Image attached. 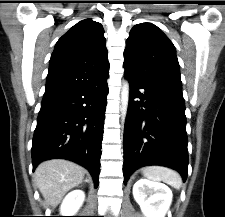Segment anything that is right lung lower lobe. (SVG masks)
<instances>
[{"label":"right lung lower lobe","mask_w":225,"mask_h":217,"mask_svg":"<svg viewBox=\"0 0 225 217\" xmlns=\"http://www.w3.org/2000/svg\"><path fill=\"white\" fill-rule=\"evenodd\" d=\"M107 79L84 88L44 95L32 144L33 169L63 158L87 168L98 185Z\"/></svg>","instance_id":"right-lung-lower-lobe-1"}]
</instances>
